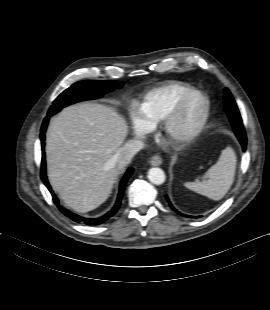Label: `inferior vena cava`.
Masks as SVG:
<instances>
[{
	"label": "inferior vena cava",
	"mask_w": 270,
	"mask_h": 310,
	"mask_svg": "<svg viewBox=\"0 0 270 310\" xmlns=\"http://www.w3.org/2000/svg\"><path fill=\"white\" fill-rule=\"evenodd\" d=\"M143 148L144 144L142 141L130 140L112 157V162L117 168L123 169L131 162L133 156Z\"/></svg>",
	"instance_id": "602c4592"
}]
</instances>
